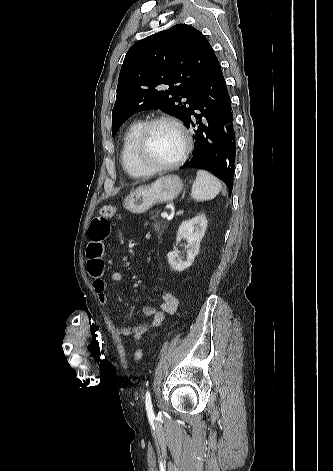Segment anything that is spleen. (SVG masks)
Segmentation results:
<instances>
[{
    "label": "spleen",
    "mask_w": 333,
    "mask_h": 471,
    "mask_svg": "<svg viewBox=\"0 0 333 471\" xmlns=\"http://www.w3.org/2000/svg\"><path fill=\"white\" fill-rule=\"evenodd\" d=\"M221 191L220 181L205 170H198L192 185L191 197L196 201L214 199Z\"/></svg>",
    "instance_id": "1"
}]
</instances>
